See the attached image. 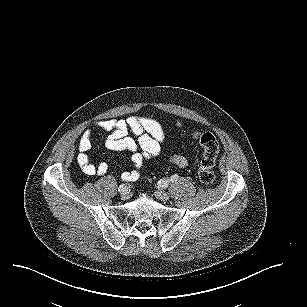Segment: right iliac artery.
I'll return each instance as SVG.
<instances>
[{
  "label": "right iliac artery",
  "mask_w": 307,
  "mask_h": 307,
  "mask_svg": "<svg viewBox=\"0 0 307 307\" xmlns=\"http://www.w3.org/2000/svg\"><path fill=\"white\" fill-rule=\"evenodd\" d=\"M125 187L126 186H124V185H120L119 188H118V191H123Z\"/></svg>",
  "instance_id": "1"
}]
</instances>
